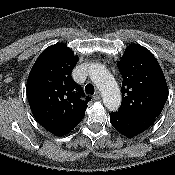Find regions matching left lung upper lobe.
<instances>
[{"label": "left lung upper lobe", "mask_w": 175, "mask_h": 175, "mask_svg": "<svg viewBox=\"0 0 175 175\" xmlns=\"http://www.w3.org/2000/svg\"><path fill=\"white\" fill-rule=\"evenodd\" d=\"M122 81V115L159 116L168 99V87L162 69L146 48L128 46L118 63Z\"/></svg>", "instance_id": "5c2ea615"}]
</instances>
